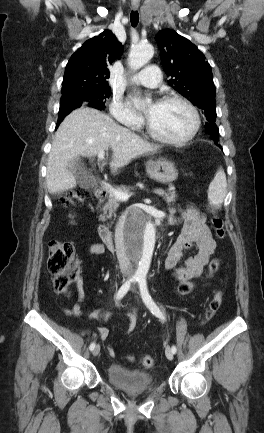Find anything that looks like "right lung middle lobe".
I'll return each instance as SVG.
<instances>
[{
  "mask_svg": "<svg viewBox=\"0 0 264 433\" xmlns=\"http://www.w3.org/2000/svg\"><path fill=\"white\" fill-rule=\"evenodd\" d=\"M110 95L111 91L108 86L71 92L61 98L58 120L63 119L73 109L81 106L102 110L105 108V101Z\"/></svg>",
  "mask_w": 264,
  "mask_h": 433,
  "instance_id": "1",
  "label": "right lung middle lobe"
}]
</instances>
